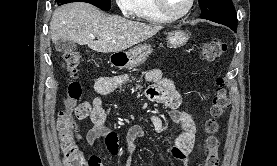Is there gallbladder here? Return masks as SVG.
Returning <instances> with one entry per match:
<instances>
[{
  "label": "gallbladder",
  "mask_w": 277,
  "mask_h": 166,
  "mask_svg": "<svg viewBox=\"0 0 277 166\" xmlns=\"http://www.w3.org/2000/svg\"><path fill=\"white\" fill-rule=\"evenodd\" d=\"M55 47L61 53H71L77 45L73 41L60 39L55 43Z\"/></svg>",
  "instance_id": "1"
}]
</instances>
